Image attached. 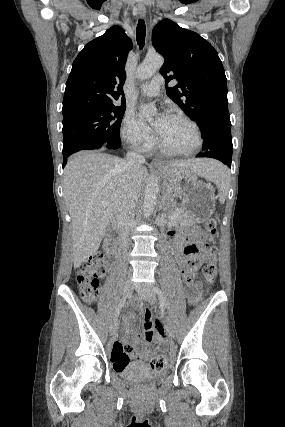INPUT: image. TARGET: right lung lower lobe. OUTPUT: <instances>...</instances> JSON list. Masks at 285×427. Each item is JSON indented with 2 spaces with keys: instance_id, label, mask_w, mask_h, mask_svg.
Masks as SVG:
<instances>
[{
  "instance_id": "obj_1",
  "label": "right lung lower lobe",
  "mask_w": 285,
  "mask_h": 427,
  "mask_svg": "<svg viewBox=\"0 0 285 427\" xmlns=\"http://www.w3.org/2000/svg\"><path fill=\"white\" fill-rule=\"evenodd\" d=\"M71 157H72V156H71ZM71 157H69V158H67V159H63V167L66 165V163L68 162V160H69Z\"/></svg>"
}]
</instances>
